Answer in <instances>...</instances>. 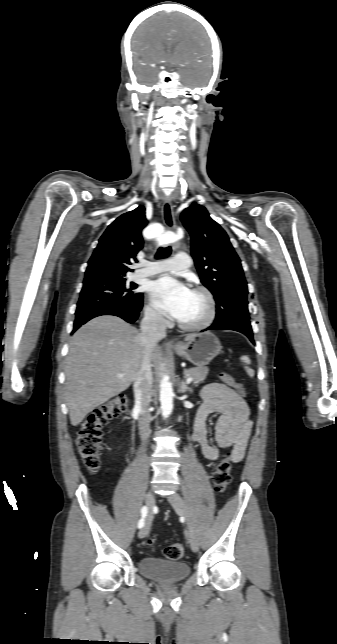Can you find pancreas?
Returning a JSON list of instances; mask_svg holds the SVG:
<instances>
[{
    "label": "pancreas",
    "instance_id": "obj_1",
    "mask_svg": "<svg viewBox=\"0 0 337 644\" xmlns=\"http://www.w3.org/2000/svg\"><path fill=\"white\" fill-rule=\"evenodd\" d=\"M208 368L206 367H197L184 370L185 377H192L193 384L197 386L199 383L203 382L208 374Z\"/></svg>",
    "mask_w": 337,
    "mask_h": 644
}]
</instances>
